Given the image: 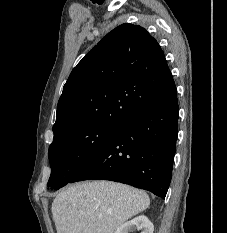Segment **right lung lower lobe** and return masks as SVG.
Masks as SVG:
<instances>
[{
    "label": "right lung lower lobe",
    "instance_id": "right-lung-lower-lobe-1",
    "mask_svg": "<svg viewBox=\"0 0 227 233\" xmlns=\"http://www.w3.org/2000/svg\"><path fill=\"white\" fill-rule=\"evenodd\" d=\"M176 87L124 121L69 182L101 179L129 184L165 198L178 135Z\"/></svg>",
    "mask_w": 227,
    "mask_h": 233
}]
</instances>
